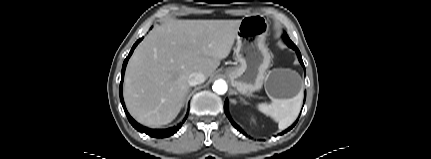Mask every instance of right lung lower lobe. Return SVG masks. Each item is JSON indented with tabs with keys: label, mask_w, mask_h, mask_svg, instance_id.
<instances>
[{
	"label": "right lung lower lobe",
	"mask_w": 431,
	"mask_h": 159,
	"mask_svg": "<svg viewBox=\"0 0 431 159\" xmlns=\"http://www.w3.org/2000/svg\"><path fill=\"white\" fill-rule=\"evenodd\" d=\"M141 40H142V38H141V39H139V40H138V41L133 45V47H132V49H131V51H130L129 55L127 56V58L125 59V61H124V63H123V66H122V74H121V82H120V88H119V91H120V100H121V103H122L123 109H124V111H125V113H126V115H127V118H128V120H129V122L131 123V125H132L135 129H137L138 131H140V132H142V133H146L147 135H149V136H151V137H156V138H165V137H169V136L173 135L174 133H176V132L180 129V127H181V125H182V124H179L178 126H174V127L168 128V129H162V130L149 129V128H147V127H144V126H142V125L138 124V123H137V122H136V121H135V120H134V119L129 115V113L127 112V110H126V108H125V104H124V100H123V95H122V85H123L124 72H125V68H126V65H127L128 59L130 58L131 54L133 53L134 48L137 46V44H138ZM187 116H188V112H187V114H186L185 118L183 119L182 123H184V121L187 119Z\"/></svg>",
	"instance_id": "obj_1"
}]
</instances>
